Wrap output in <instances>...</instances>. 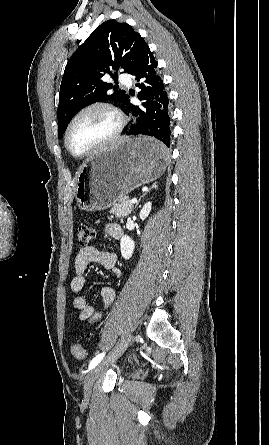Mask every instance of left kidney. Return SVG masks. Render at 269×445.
<instances>
[{"label": "left kidney", "instance_id": "5707ae66", "mask_svg": "<svg viewBox=\"0 0 269 445\" xmlns=\"http://www.w3.org/2000/svg\"><path fill=\"white\" fill-rule=\"evenodd\" d=\"M152 208V203L147 202L140 211V219L148 217ZM121 255L124 259H130L135 249V242L128 236H123L120 241Z\"/></svg>", "mask_w": 269, "mask_h": 445}]
</instances>
